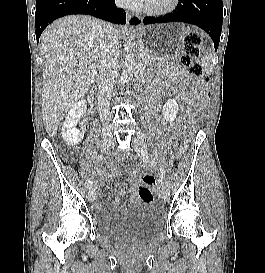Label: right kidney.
<instances>
[{"mask_svg":"<svg viewBox=\"0 0 265 273\" xmlns=\"http://www.w3.org/2000/svg\"><path fill=\"white\" fill-rule=\"evenodd\" d=\"M87 105L85 100L77 102L68 112L62 125V137L68 146H76L83 139L86 126L80 122V129L75 125L80 121L86 113Z\"/></svg>","mask_w":265,"mask_h":273,"instance_id":"right-kidney-1","label":"right kidney"}]
</instances>
